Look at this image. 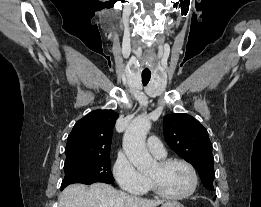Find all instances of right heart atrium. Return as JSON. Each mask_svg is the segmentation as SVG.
<instances>
[{"label": "right heart atrium", "instance_id": "right-heart-atrium-1", "mask_svg": "<svg viewBox=\"0 0 261 207\" xmlns=\"http://www.w3.org/2000/svg\"><path fill=\"white\" fill-rule=\"evenodd\" d=\"M113 175L121 189L143 194L149 187V181L125 156H119L113 166Z\"/></svg>", "mask_w": 261, "mask_h": 207}]
</instances>
